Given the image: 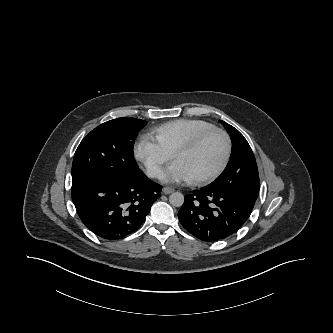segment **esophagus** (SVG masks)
<instances>
[{
  "label": "esophagus",
  "instance_id": "1",
  "mask_svg": "<svg viewBox=\"0 0 333 333\" xmlns=\"http://www.w3.org/2000/svg\"><path fill=\"white\" fill-rule=\"evenodd\" d=\"M163 193L164 194H170V193H172V192H174V189L173 188H170V187H165V188H163Z\"/></svg>",
  "mask_w": 333,
  "mask_h": 333
}]
</instances>
